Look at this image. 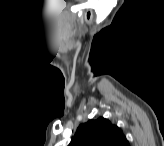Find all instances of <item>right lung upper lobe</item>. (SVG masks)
I'll return each instance as SVG.
<instances>
[{"label":"right lung upper lobe","instance_id":"cb5924a9","mask_svg":"<svg viewBox=\"0 0 164 146\" xmlns=\"http://www.w3.org/2000/svg\"><path fill=\"white\" fill-rule=\"evenodd\" d=\"M69 146H129L122 131L102 117L81 124Z\"/></svg>","mask_w":164,"mask_h":146}]
</instances>
